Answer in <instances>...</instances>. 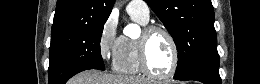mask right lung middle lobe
Returning <instances> with one entry per match:
<instances>
[{"instance_id": "obj_1", "label": "right lung middle lobe", "mask_w": 260, "mask_h": 84, "mask_svg": "<svg viewBox=\"0 0 260 84\" xmlns=\"http://www.w3.org/2000/svg\"><path fill=\"white\" fill-rule=\"evenodd\" d=\"M106 20L81 24L52 34L49 84H64L70 77L87 69L105 70L100 40Z\"/></svg>"}]
</instances>
